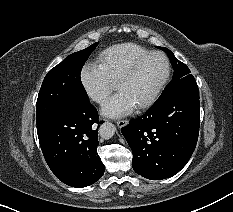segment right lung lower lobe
<instances>
[{
    "mask_svg": "<svg viewBox=\"0 0 233 212\" xmlns=\"http://www.w3.org/2000/svg\"><path fill=\"white\" fill-rule=\"evenodd\" d=\"M100 121L96 108L79 103L64 109L37 126L45 160L63 183L86 187L104 174V164L97 154Z\"/></svg>",
    "mask_w": 233,
    "mask_h": 212,
    "instance_id": "1",
    "label": "right lung lower lobe"
}]
</instances>
